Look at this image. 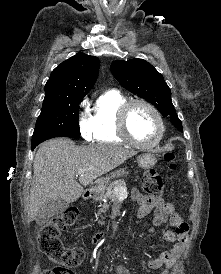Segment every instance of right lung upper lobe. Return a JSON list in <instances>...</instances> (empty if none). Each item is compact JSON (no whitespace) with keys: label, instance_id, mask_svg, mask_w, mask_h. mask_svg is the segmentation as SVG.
<instances>
[{"label":"right lung upper lobe","instance_id":"obj_1","mask_svg":"<svg viewBox=\"0 0 221 274\" xmlns=\"http://www.w3.org/2000/svg\"><path fill=\"white\" fill-rule=\"evenodd\" d=\"M99 67L97 57L84 53L70 57L52 71L44 100L84 98L95 84Z\"/></svg>","mask_w":221,"mask_h":274}]
</instances>
